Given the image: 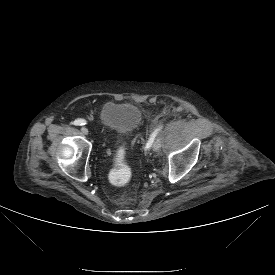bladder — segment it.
I'll return each instance as SVG.
<instances>
[{
    "label": "bladder",
    "mask_w": 275,
    "mask_h": 275,
    "mask_svg": "<svg viewBox=\"0 0 275 275\" xmlns=\"http://www.w3.org/2000/svg\"><path fill=\"white\" fill-rule=\"evenodd\" d=\"M141 122V109L130 102L109 101L102 106L99 113V123L105 136H128Z\"/></svg>",
    "instance_id": "31cf9c89"
}]
</instances>
